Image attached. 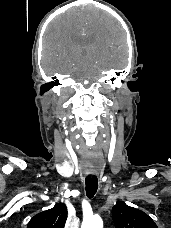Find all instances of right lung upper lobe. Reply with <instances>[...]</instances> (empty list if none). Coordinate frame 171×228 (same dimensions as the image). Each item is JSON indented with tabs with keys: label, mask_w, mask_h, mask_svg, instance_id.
Listing matches in <instances>:
<instances>
[{
	"label": "right lung upper lobe",
	"mask_w": 171,
	"mask_h": 228,
	"mask_svg": "<svg viewBox=\"0 0 171 228\" xmlns=\"http://www.w3.org/2000/svg\"><path fill=\"white\" fill-rule=\"evenodd\" d=\"M67 218L65 204L58 203L52 209L35 215L27 225V228H64Z\"/></svg>",
	"instance_id": "right-lung-upper-lobe-1"
}]
</instances>
